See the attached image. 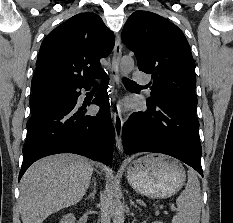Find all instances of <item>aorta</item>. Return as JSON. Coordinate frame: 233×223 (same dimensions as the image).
I'll return each mask as SVG.
<instances>
[{
	"mask_svg": "<svg viewBox=\"0 0 233 223\" xmlns=\"http://www.w3.org/2000/svg\"><path fill=\"white\" fill-rule=\"evenodd\" d=\"M132 70H134V60H132V58H129V56H127V58H123L120 64L121 76H128V74H130ZM120 205H121V201H120L119 195H113V199L111 203L112 217H115V215H118L120 211Z\"/></svg>",
	"mask_w": 233,
	"mask_h": 223,
	"instance_id": "1",
	"label": "aorta"
}]
</instances>
